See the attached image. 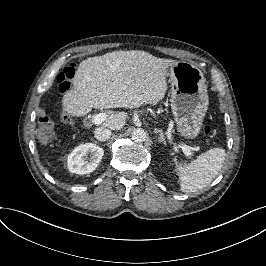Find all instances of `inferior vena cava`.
<instances>
[{"label":"inferior vena cava","mask_w":266,"mask_h":266,"mask_svg":"<svg viewBox=\"0 0 266 266\" xmlns=\"http://www.w3.org/2000/svg\"><path fill=\"white\" fill-rule=\"evenodd\" d=\"M111 136V130L107 128L98 127L94 131V137L101 142L106 141Z\"/></svg>","instance_id":"602c4592"}]
</instances>
